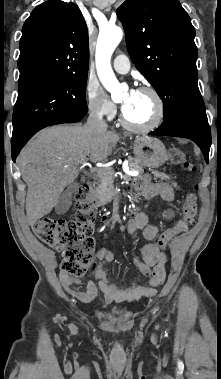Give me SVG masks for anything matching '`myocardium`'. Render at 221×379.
<instances>
[{
    "label": "myocardium",
    "mask_w": 221,
    "mask_h": 379,
    "mask_svg": "<svg viewBox=\"0 0 221 379\" xmlns=\"http://www.w3.org/2000/svg\"><path fill=\"white\" fill-rule=\"evenodd\" d=\"M138 92L149 94L153 98L155 103V114L153 119L147 124H135L126 118L122 110L120 114V122L127 129L137 132H149L156 129L162 123L165 114L164 102L159 92L151 86H143Z\"/></svg>",
    "instance_id": "obj_1"
}]
</instances>
